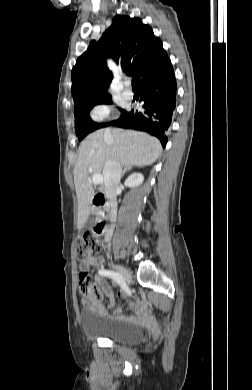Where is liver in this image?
<instances>
[{
  "mask_svg": "<svg viewBox=\"0 0 252 390\" xmlns=\"http://www.w3.org/2000/svg\"><path fill=\"white\" fill-rule=\"evenodd\" d=\"M161 153L159 140L144 132L100 129L88 135L79 146L78 160L74 168L78 199L77 227L82 228L90 214L94 195L89 180L90 174H100L109 159L116 160L125 168H132L151 165ZM89 168H92V172Z\"/></svg>",
  "mask_w": 252,
  "mask_h": 390,
  "instance_id": "liver-1",
  "label": "liver"
}]
</instances>
